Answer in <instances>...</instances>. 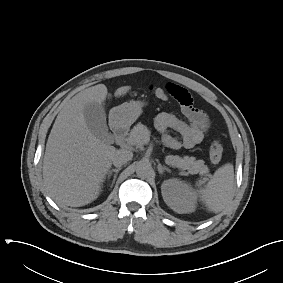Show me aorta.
<instances>
[{"mask_svg": "<svg viewBox=\"0 0 283 283\" xmlns=\"http://www.w3.org/2000/svg\"><path fill=\"white\" fill-rule=\"evenodd\" d=\"M151 172V164L147 161H139L136 165V173L140 177H146Z\"/></svg>", "mask_w": 283, "mask_h": 283, "instance_id": "aorta-1", "label": "aorta"}]
</instances>
